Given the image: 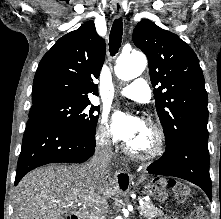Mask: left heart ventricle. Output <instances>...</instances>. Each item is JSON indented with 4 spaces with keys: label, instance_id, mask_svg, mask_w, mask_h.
<instances>
[{
    "label": "left heart ventricle",
    "instance_id": "obj_1",
    "mask_svg": "<svg viewBox=\"0 0 221 219\" xmlns=\"http://www.w3.org/2000/svg\"><path fill=\"white\" fill-rule=\"evenodd\" d=\"M128 144L138 151L147 150L152 144L150 131L143 126L136 136L128 141Z\"/></svg>",
    "mask_w": 221,
    "mask_h": 219
}]
</instances>
